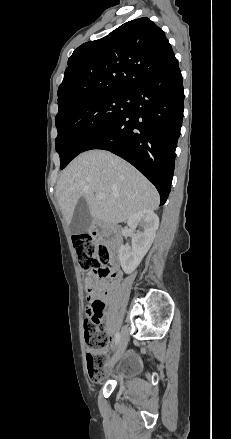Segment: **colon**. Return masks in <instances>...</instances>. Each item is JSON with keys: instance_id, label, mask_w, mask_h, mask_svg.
<instances>
[{"instance_id": "5ec220e1", "label": "colon", "mask_w": 231, "mask_h": 439, "mask_svg": "<svg viewBox=\"0 0 231 439\" xmlns=\"http://www.w3.org/2000/svg\"><path fill=\"white\" fill-rule=\"evenodd\" d=\"M73 245L81 272L85 277L94 274L99 279V287L105 290L111 276L110 252L107 247L99 243L91 234L74 236ZM88 289L89 285H87ZM88 309L91 311V316L85 324V342L88 348L86 365L92 378L101 379L104 377L103 366L106 356L99 351L107 345L99 322L104 305L100 300L93 299Z\"/></svg>"}]
</instances>
